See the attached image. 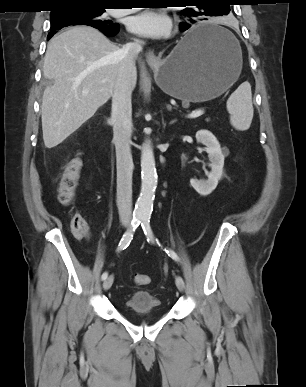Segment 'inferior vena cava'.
<instances>
[{"label":"inferior vena cava","mask_w":306,"mask_h":387,"mask_svg":"<svg viewBox=\"0 0 306 387\" xmlns=\"http://www.w3.org/2000/svg\"><path fill=\"white\" fill-rule=\"evenodd\" d=\"M142 51V42L135 40L120 50V66L112 93L113 142L116 148L117 206L121 222L132 219V77L135 58Z\"/></svg>","instance_id":"obj_1"}]
</instances>
